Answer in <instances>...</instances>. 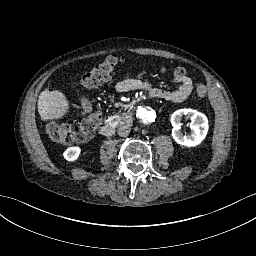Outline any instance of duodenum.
Masks as SVG:
<instances>
[{
    "label": "duodenum",
    "mask_w": 256,
    "mask_h": 256,
    "mask_svg": "<svg viewBox=\"0 0 256 256\" xmlns=\"http://www.w3.org/2000/svg\"><path fill=\"white\" fill-rule=\"evenodd\" d=\"M146 105H147V100L146 99H141L138 102V106L133 107V111L132 110L127 111V113H126L127 118H129V119L134 118L135 113H139L140 108H145ZM99 133H100L101 136H104V137L112 136L113 133H114V125L113 124H106V125L102 126L100 128Z\"/></svg>",
    "instance_id": "410a0bca"
}]
</instances>
